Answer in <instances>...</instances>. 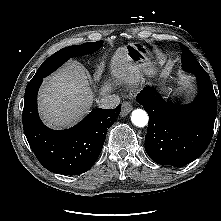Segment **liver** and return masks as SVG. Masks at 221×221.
I'll list each match as a JSON object with an SVG mask.
<instances>
[{
	"label": "liver",
	"instance_id": "obj_1",
	"mask_svg": "<svg viewBox=\"0 0 221 221\" xmlns=\"http://www.w3.org/2000/svg\"><path fill=\"white\" fill-rule=\"evenodd\" d=\"M113 74L119 79H133L136 73L125 48H120L111 61ZM109 84L105 86L108 90ZM94 95L84 67L70 62L45 79L39 92V112L47 126L68 127L79 121L90 109Z\"/></svg>",
	"mask_w": 221,
	"mask_h": 221
}]
</instances>
